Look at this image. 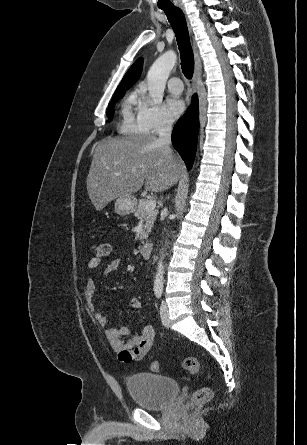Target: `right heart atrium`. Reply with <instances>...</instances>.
Here are the masks:
<instances>
[{
	"instance_id": "right-heart-atrium-1",
	"label": "right heart atrium",
	"mask_w": 307,
	"mask_h": 445,
	"mask_svg": "<svg viewBox=\"0 0 307 445\" xmlns=\"http://www.w3.org/2000/svg\"><path fill=\"white\" fill-rule=\"evenodd\" d=\"M142 107L138 112V122L141 129L149 134H162L169 130L174 119L166 108L151 99L144 89L138 91Z\"/></svg>"
}]
</instances>
